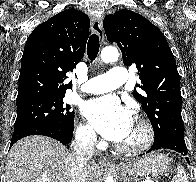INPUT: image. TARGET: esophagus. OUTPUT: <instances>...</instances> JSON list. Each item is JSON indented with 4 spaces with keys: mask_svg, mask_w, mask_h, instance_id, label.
<instances>
[{
    "mask_svg": "<svg viewBox=\"0 0 196 182\" xmlns=\"http://www.w3.org/2000/svg\"><path fill=\"white\" fill-rule=\"evenodd\" d=\"M91 30L94 34L98 35L100 41L104 40V31L101 18L95 17L92 19ZM99 163L104 166H115V164H113L112 161L105 156H101L99 158Z\"/></svg>",
    "mask_w": 196,
    "mask_h": 182,
    "instance_id": "1",
    "label": "esophagus"
}]
</instances>
